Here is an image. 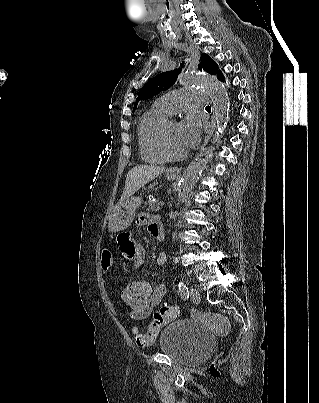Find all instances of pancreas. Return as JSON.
<instances>
[{"instance_id":"cf45deb5","label":"pancreas","mask_w":319,"mask_h":403,"mask_svg":"<svg viewBox=\"0 0 319 403\" xmlns=\"http://www.w3.org/2000/svg\"><path fill=\"white\" fill-rule=\"evenodd\" d=\"M145 206L147 208L148 211H159L160 210V206L158 205V202L150 200L148 202L145 203Z\"/></svg>"}]
</instances>
